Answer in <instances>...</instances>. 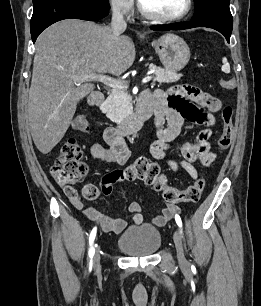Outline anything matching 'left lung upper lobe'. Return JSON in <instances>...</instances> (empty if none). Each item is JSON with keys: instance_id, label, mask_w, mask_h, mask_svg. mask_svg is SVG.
<instances>
[{"instance_id": "left-lung-upper-lobe-1", "label": "left lung upper lobe", "mask_w": 261, "mask_h": 306, "mask_svg": "<svg viewBox=\"0 0 261 306\" xmlns=\"http://www.w3.org/2000/svg\"><path fill=\"white\" fill-rule=\"evenodd\" d=\"M197 20H232L229 8L230 0H194Z\"/></svg>"}]
</instances>
